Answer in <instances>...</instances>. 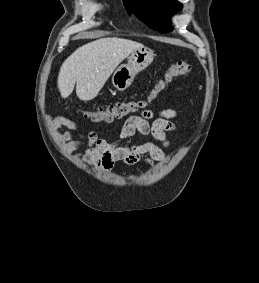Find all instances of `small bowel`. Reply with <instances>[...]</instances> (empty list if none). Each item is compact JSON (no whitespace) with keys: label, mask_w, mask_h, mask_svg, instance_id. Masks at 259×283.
<instances>
[{"label":"small bowel","mask_w":259,"mask_h":283,"mask_svg":"<svg viewBox=\"0 0 259 283\" xmlns=\"http://www.w3.org/2000/svg\"><path fill=\"white\" fill-rule=\"evenodd\" d=\"M176 117L177 113L173 109H163L156 117L153 111L145 110L140 115L130 116L122 126V139L128 140L139 133L153 137L162 146L151 141L137 145L112 143L95 132L80 133L78 124L63 116L54 118L53 126L55 129H67L59 134V138L68 150L84 147L83 152L75 155L76 159H81L101 170L110 171L116 161L133 166L142 156H148L150 162L163 160L166 157V149L170 147L168 133L176 129Z\"/></svg>","instance_id":"c3829d8e"}]
</instances>
